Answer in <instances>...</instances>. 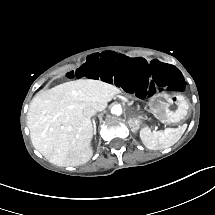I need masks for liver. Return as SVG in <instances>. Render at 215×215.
Segmentation results:
<instances>
[{"instance_id":"liver-1","label":"liver","mask_w":215,"mask_h":215,"mask_svg":"<svg viewBox=\"0 0 215 215\" xmlns=\"http://www.w3.org/2000/svg\"><path fill=\"white\" fill-rule=\"evenodd\" d=\"M120 92L116 86L94 79L65 82L39 92L27 112L34 148L58 166L87 163L93 155V126L83 110L92 106L103 111Z\"/></svg>"}]
</instances>
